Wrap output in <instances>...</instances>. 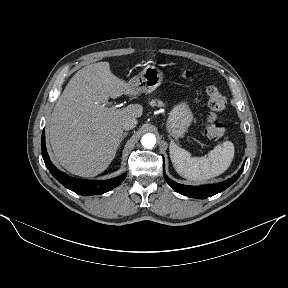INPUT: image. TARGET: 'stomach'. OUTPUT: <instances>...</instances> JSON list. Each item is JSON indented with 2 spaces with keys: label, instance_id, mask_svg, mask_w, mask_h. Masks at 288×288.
I'll use <instances>...</instances> for the list:
<instances>
[{
  "label": "stomach",
  "instance_id": "1",
  "mask_svg": "<svg viewBox=\"0 0 288 288\" xmlns=\"http://www.w3.org/2000/svg\"><path fill=\"white\" fill-rule=\"evenodd\" d=\"M163 72L154 65L145 66L142 71L128 83L134 94L151 93L159 87ZM193 121V113L186 100L175 105L169 113L166 129L170 137L181 138Z\"/></svg>",
  "mask_w": 288,
  "mask_h": 288
}]
</instances>
